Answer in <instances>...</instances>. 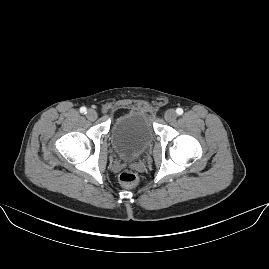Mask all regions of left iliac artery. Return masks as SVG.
Here are the masks:
<instances>
[{"label":"left iliac artery","mask_w":269,"mask_h":269,"mask_svg":"<svg viewBox=\"0 0 269 269\" xmlns=\"http://www.w3.org/2000/svg\"><path fill=\"white\" fill-rule=\"evenodd\" d=\"M176 113H177L178 115H182V114H183V109H182V108H177V109H176Z\"/></svg>","instance_id":"left-iliac-artery-1"}]
</instances>
